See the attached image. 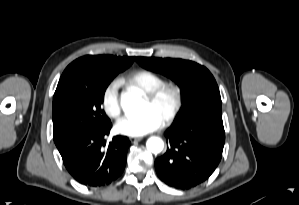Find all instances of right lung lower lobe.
Masks as SVG:
<instances>
[{
  "instance_id": "1",
  "label": "right lung lower lobe",
  "mask_w": 299,
  "mask_h": 205,
  "mask_svg": "<svg viewBox=\"0 0 299 205\" xmlns=\"http://www.w3.org/2000/svg\"><path fill=\"white\" fill-rule=\"evenodd\" d=\"M111 127L112 124L79 133L58 148L65 167L79 183L91 187L106 186L124 171L130 141L127 137L116 136L104 149V137Z\"/></svg>"
}]
</instances>
